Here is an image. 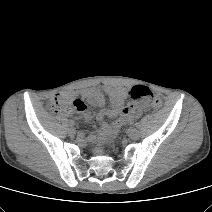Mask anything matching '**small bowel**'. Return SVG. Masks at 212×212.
<instances>
[{"instance_id":"obj_1","label":"small bowel","mask_w":212,"mask_h":212,"mask_svg":"<svg viewBox=\"0 0 212 212\" xmlns=\"http://www.w3.org/2000/svg\"><path fill=\"white\" fill-rule=\"evenodd\" d=\"M127 91L123 88H117L112 86H100L93 87L83 90L80 96L85 99L88 103L98 108H103L106 104V96L110 99L111 105L107 109H101L96 118L101 124L99 136L107 138L115 133L121 127L131 123L134 119L140 117L143 112L148 109L147 103H128L125 104L127 98ZM61 99L70 100V96L57 95ZM55 97V98H56ZM79 100V99H76ZM81 101V100H80ZM85 119H90L91 115L85 109L79 111ZM105 117L118 119L109 125L104 121ZM88 137L94 141L96 136L94 133H89Z\"/></svg>"}]
</instances>
